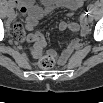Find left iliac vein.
I'll return each mask as SVG.
<instances>
[{
  "mask_svg": "<svg viewBox=\"0 0 103 103\" xmlns=\"http://www.w3.org/2000/svg\"><path fill=\"white\" fill-rule=\"evenodd\" d=\"M93 18L89 15V21L92 22Z\"/></svg>",
  "mask_w": 103,
  "mask_h": 103,
  "instance_id": "left-iliac-vein-1",
  "label": "left iliac vein"
}]
</instances>
